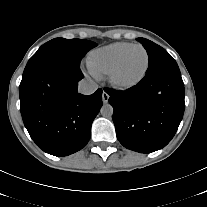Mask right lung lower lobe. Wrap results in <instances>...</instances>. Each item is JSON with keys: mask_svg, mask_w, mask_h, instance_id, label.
<instances>
[{"mask_svg": "<svg viewBox=\"0 0 207 207\" xmlns=\"http://www.w3.org/2000/svg\"><path fill=\"white\" fill-rule=\"evenodd\" d=\"M78 65L55 61L23 73L20 110L26 129L44 152L63 157L82 149L102 107V89L78 93Z\"/></svg>", "mask_w": 207, "mask_h": 207, "instance_id": "obj_1", "label": "right lung lower lobe"}]
</instances>
